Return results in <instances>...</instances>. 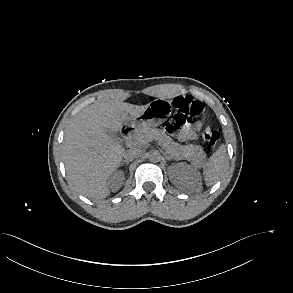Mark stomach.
<instances>
[{"mask_svg": "<svg viewBox=\"0 0 293 293\" xmlns=\"http://www.w3.org/2000/svg\"><path fill=\"white\" fill-rule=\"evenodd\" d=\"M172 109L170 100L158 98L147 104L145 110L132 120L142 127H157L167 119Z\"/></svg>", "mask_w": 293, "mask_h": 293, "instance_id": "obj_1", "label": "stomach"}]
</instances>
